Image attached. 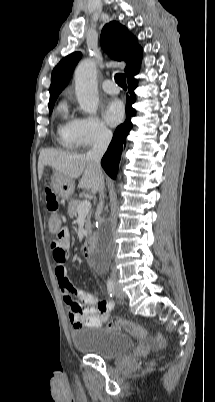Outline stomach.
<instances>
[{"mask_svg": "<svg viewBox=\"0 0 215 402\" xmlns=\"http://www.w3.org/2000/svg\"><path fill=\"white\" fill-rule=\"evenodd\" d=\"M51 186L61 198H69L75 189L74 181L58 171H54L51 176Z\"/></svg>", "mask_w": 215, "mask_h": 402, "instance_id": "1", "label": "stomach"}]
</instances>
